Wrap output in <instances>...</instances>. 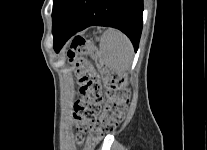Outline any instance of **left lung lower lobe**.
Segmentation results:
<instances>
[{
    "instance_id": "1",
    "label": "left lung lower lobe",
    "mask_w": 207,
    "mask_h": 150,
    "mask_svg": "<svg viewBox=\"0 0 207 150\" xmlns=\"http://www.w3.org/2000/svg\"><path fill=\"white\" fill-rule=\"evenodd\" d=\"M142 13L143 0H67L52 28L54 49L59 52L75 33L99 25L121 30L137 51Z\"/></svg>"
}]
</instances>
